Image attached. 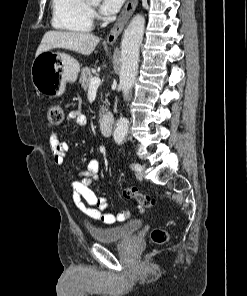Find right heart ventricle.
Wrapping results in <instances>:
<instances>
[{"mask_svg": "<svg viewBox=\"0 0 247 296\" xmlns=\"http://www.w3.org/2000/svg\"><path fill=\"white\" fill-rule=\"evenodd\" d=\"M52 26L69 32L92 29L91 10L87 0H52Z\"/></svg>", "mask_w": 247, "mask_h": 296, "instance_id": "e07e8e85", "label": "right heart ventricle"}]
</instances>
